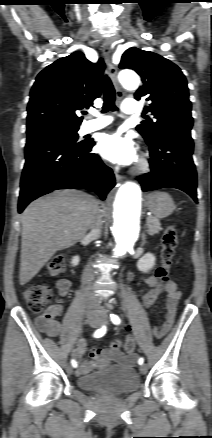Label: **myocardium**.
Listing matches in <instances>:
<instances>
[{
	"label": "myocardium",
	"instance_id": "f54148a6",
	"mask_svg": "<svg viewBox=\"0 0 212 438\" xmlns=\"http://www.w3.org/2000/svg\"><path fill=\"white\" fill-rule=\"evenodd\" d=\"M151 167L150 161L148 158H146L145 156H141L137 161L136 164L134 166L133 171L136 174H144L146 172L149 171Z\"/></svg>",
	"mask_w": 212,
	"mask_h": 438
}]
</instances>
